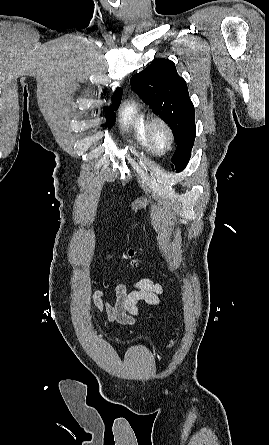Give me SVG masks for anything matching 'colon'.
I'll list each match as a JSON object with an SVG mask.
<instances>
[{
  "label": "colon",
  "instance_id": "colon-1",
  "mask_svg": "<svg viewBox=\"0 0 269 445\" xmlns=\"http://www.w3.org/2000/svg\"><path fill=\"white\" fill-rule=\"evenodd\" d=\"M121 258L126 261L130 266H135L137 264V251L134 249H128L122 253ZM175 341L170 343L173 346Z\"/></svg>",
  "mask_w": 269,
  "mask_h": 445
}]
</instances>
